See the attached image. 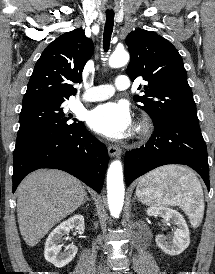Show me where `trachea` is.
<instances>
[{
	"instance_id": "obj_1",
	"label": "trachea",
	"mask_w": 215,
	"mask_h": 274,
	"mask_svg": "<svg viewBox=\"0 0 215 274\" xmlns=\"http://www.w3.org/2000/svg\"><path fill=\"white\" fill-rule=\"evenodd\" d=\"M113 26H114V13L106 14V23H105L104 34H103V45H104L105 52H107L110 46Z\"/></svg>"
}]
</instances>
